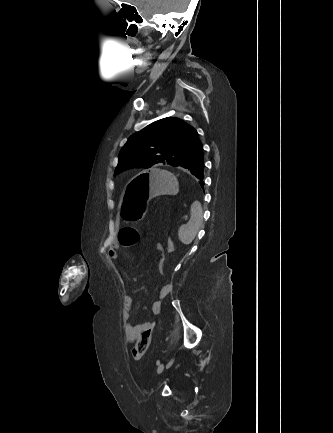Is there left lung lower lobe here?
<instances>
[{
  "label": "left lung lower lobe",
  "instance_id": "left-lung-lower-lobe-1",
  "mask_svg": "<svg viewBox=\"0 0 333 433\" xmlns=\"http://www.w3.org/2000/svg\"><path fill=\"white\" fill-rule=\"evenodd\" d=\"M180 168L185 169L196 178L200 179V184L203 185L204 179V153L203 146L199 148L197 152H195L191 157L186 159L181 165Z\"/></svg>",
  "mask_w": 333,
  "mask_h": 433
}]
</instances>
